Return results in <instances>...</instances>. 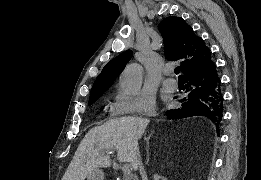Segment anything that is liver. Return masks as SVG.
Listing matches in <instances>:
<instances>
[{
	"mask_svg": "<svg viewBox=\"0 0 261 180\" xmlns=\"http://www.w3.org/2000/svg\"><path fill=\"white\" fill-rule=\"evenodd\" d=\"M148 120L124 116L113 118L103 126L92 128L80 142L70 164L68 180H85L86 176L101 166H111L110 152H118L119 162H130L136 170L139 152L138 142L142 138Z\"/></svg>",
	"mask_w": 261,
	"mask_h": 180,
	"instance_id": "obj_1",
	"label": "liver"
}]
</instances>
